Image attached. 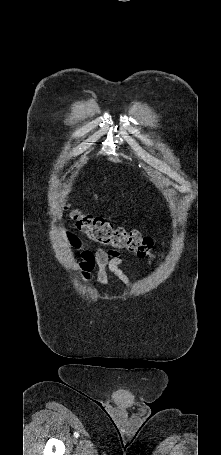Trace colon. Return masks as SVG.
Wrapping results in <instances>:
<instances>
[{
    "instance_id": "5ec220e1",
    "label": "colon",
    "mask_w": 221,
    "mask_h": 455,
    "mask_svg": "<svg viewBox=\"0 0 221 455\" xmlns=\"http://www.w3.org/2000/svg\"><path fill=\"white\" fill-rule=\"evenodd\" d=\"M70 216L78 230L91 241L115 250H126L139 258L155 261L159 253L153 247L150 237L143 236L137 230H126L105 222L104 220L87 215L80 209L67 205Z\"/></svg>"
}]
</instances>
